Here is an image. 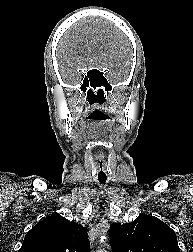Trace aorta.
<instances>
[{
    "label": "aorta",
    "instance_id": "1",
    "mask_svg": "<svg viewBox=\"0 0 193 252\" xmlns=\"http://www.w3.org/2000/svg\"><path fill=\"white\" fill-rule=\"evenodd\" d=\"M98 252H106V251H102V250H100V251H98Z\"/></svg>",
    "mask_w": 193,
    "mask_h": 252
}]
</instances>
